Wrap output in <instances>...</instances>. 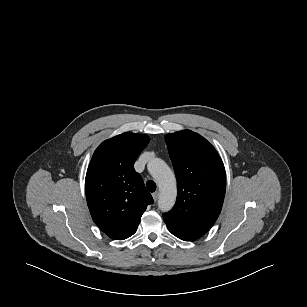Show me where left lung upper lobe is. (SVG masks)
Wrapping results in <instances>:
<instances>
[{"label":"left lung upper lobe","mask_w":307,"mask_h":307,"mask_svg":"<svg viewBox=\"0 0 307 307\" xmlns=\"http://www.w3.org/2000/svg\"><path fill=\"white\" fill-rule=\"evenodd\" d=\"M177 179V200L163 214L169 230L196 240L218 218L226 190L223 162L201 135L183 130L165 136Z\"/></svg>","instance_id":"1"}]
</instances>
